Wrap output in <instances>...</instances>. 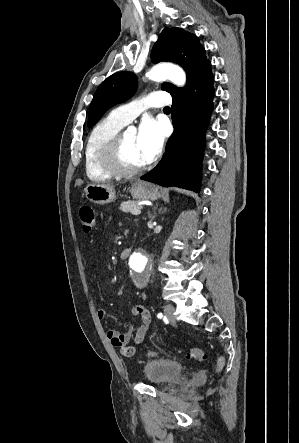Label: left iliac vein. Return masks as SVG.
<instances>
[{"mask_svg": "<svg viewBox=\"0 0 299 443\" xmlns=\"http://www.w3.org/2000/svg\"><path fill=\"white\" fill-rule=\"evenodd\" d=\"M164 313L170 323H175L176 319L174 316V307L170 304L164 307Z\"/></svg>", "mask_w": 299, "mask_h": 443, "instance_id": "left-iliac-vein-1", "label": "left iliac vein"}]
</instances>
